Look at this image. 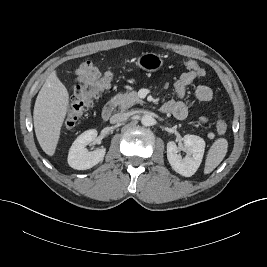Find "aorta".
<instances>
[{
  "mask_svg": "<svg viewBox=\"0 0 267 267\" xmlns=\"http://www.w3.org/2000/svg\"><path fill=\"white\" fill-rule=\"evenodd\" d=\"M141 123L144 126H152L154 124V118L150 114H144L141 117Z\"/></svg>",
  "mask_w": 267,
  "mask_h": 267,
  "instance_id": "762f6f07",
  "label": "aorta"
}]
</instances>
